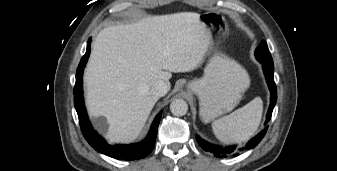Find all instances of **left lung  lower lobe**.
<instances>
[{
    "mask_svg": "<svg viewBox=\"0 0 337 171\" xmlns=\"http://www.w3.org/2000/svg\"><path fill=\"white\" fill-rule=\"evenodd\" d=\"M260 62L263 65L264 74H265V77L267 79L269 89L271 91L270 106H269V110H268V114H267L266 122H265V124H267V122L271 119L272 111H273V108L276 104L277 90H276V84L274 82V75H273L274 66H273V63L263 62V61H260ZM267 129H268V126H266L264 128V130L261 131L254 138L249 140L244 147L239 148V149H236L235 146L222 148V147H219V146L210 145L209 143L202 140L198 135L196 136V139H197L199 145L205 151L213 153L214 156H216V157L225 158V157H228V156H237L240 151L250 150V149L254 148L255 146H257L258 143L265 136Z\"/></svg>",
    "mask_w": 337,
    "mask_h": 171,
    "instance_id": "0a47b994",
    "label": "left lung lower lobe"
}]
</instances>
